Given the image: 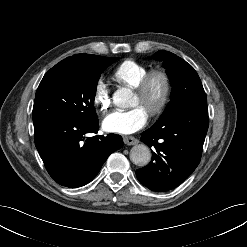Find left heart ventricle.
I'll return each instance as SVG.
<instances>
[{
    "mask_svg": "<svg viewBox=\"0 0 247 247\" xmlns=\"http://www.w3.org/2000/svg\"><path fill=\"white\" fill-rule=\"evenodd\" d=\"M162 93V83L159 79H156L151 86L150 92L145 99H141L136 93L134 95L133 106H141L147 112L154 106L160 99Z\"/></svg>",
    "mask_w": 247,
    "mask_h": 247,
    "instance_id": "obj_1",
    "label": "left heart ventricle"
}]
</instances>
